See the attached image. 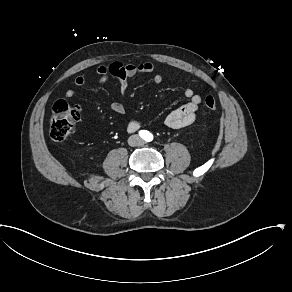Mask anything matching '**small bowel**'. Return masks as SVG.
<instances>
[{"mask_svg": "<svg viewBox=\"0 0 292 292\" xmlns=\"http://www.w3.org/2000/svg\"><path fill=\"white\" fill-rule=\"evenodd\" d=\"M155 70L154 65L151 62H143L139 64L133 63H122L115 61L108 66H100L96 70L98 76L97 81L99 83H104L108 81L109 78H116L119 84L120 93L125 95L128 91V79L139 74H150ZM155 84H160L162 82V76L155 74L153 77ZM86 83L84 76H77L74 79V85L77 87H82ZM75 95L73 89H68L65 92V96L71 98ZM184 95L188 98V102L178 109L172 111L165 118V125L171 129H180L193 124L196 120L197 110L201 103V97L194 92L191 88H186L184 90ZM111 109L116 114H123L125 112V106L120 101H112L110 104ZM139 123L132 121L128 124V128L134 130L138 128Z\"/></svg>", "mask_w": 292, "mask_h": 292, "instance_id": "small-bowel-1", "label": "small bowel"}]
</instances>
